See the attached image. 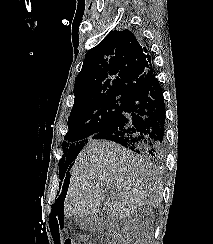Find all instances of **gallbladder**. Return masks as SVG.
I'll return each instance as SVG.
<instances>
[{
  "label": "gallbladder",
  "mask_w": 213,
  "mask_h": 244,
  "mask_svg": "<svg viewBox=\"0 0 213 244\" xmlns=\"http://www.w3.org/2000/svg\"><path fill=\"white\" fill-rule=\"evenodd\" d=\"M112 222L113 219L108 214L104 206H101L96 213L87 217L79 218L77 221L81 229L90 232H101L108 228Z\"/></svg>",
  "instance_id": "bac80fb5"
}]
</instances>
